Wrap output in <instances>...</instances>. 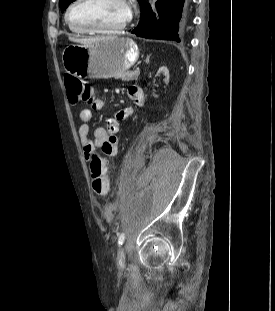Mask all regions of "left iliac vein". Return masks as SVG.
<instances>
[{
  "label": "left iliac vein",
  "instance_id": "obj_1",
  "mask_svg": "<svg viewBox=\"0 0 275 311\" xmlns=\"http://www.w3.org/2000/svg\"><path fill=\"white\" fill-rule=\"evenodd\" d=\"M117 264L119 266H124L125 265V253L123 248H119L118 253H117Z\"/></svg>",
  "mask_w": 275,
  "mask_h": 311
}]
</instances>
